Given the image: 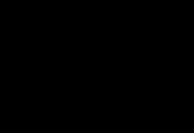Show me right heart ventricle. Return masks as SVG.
Wrapping results in <instances>:
<instances>
[{
	"label": "right heart ventricle",
	"instance_id": "1",
	"mask_svg": "<svg viewBox=\"0 0 194 133\" xmlns=\"http://www.w3.org/2000/svg\"><path fill=\"white\" fill-rule=\"evenodd\" d=\"M111 12H112L111 10H102L87 14L85 18L89 24L95 26L99 24L104 18H106Z\"/></svg>",
	"mask_w": 194,
	"mask_h": 133
}]
</instances>
